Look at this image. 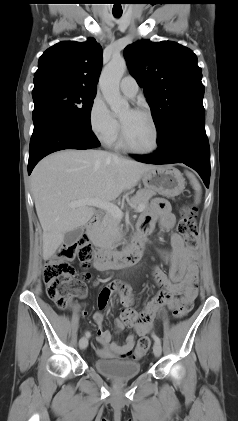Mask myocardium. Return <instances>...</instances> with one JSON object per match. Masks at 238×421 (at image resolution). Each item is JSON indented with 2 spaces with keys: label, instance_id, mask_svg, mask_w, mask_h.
Returning <instances> with one entry per match:
<instances>
[{
  "label": "myocardium",
  "instance_id": "f54148a6",
  "mask_svg": "<svg viewBox=\"0 0 238 421\" xmlns=\"http://www.w3.org/2000/svg\"><path fill=\"white\" fill-rule=\"evenodd\" d=\"M134 112L140 113L142 115H145L151 122L153 130H154V144L150 149L147 150H140L137 149L135 147H133L128 139L127 136L125 134V130H124V126L122 124V122L120 121V141L121 144L123 146L124 149H126L127 151L133 153V154H137V155H151L153 153H155L160 146V130L157 124L156 119L154 118V116L152 115V113L144 108H135L133 109Z\"/></svg>",
  "mask_w": 238,
  "mask_h": 421
}]
</instances>
